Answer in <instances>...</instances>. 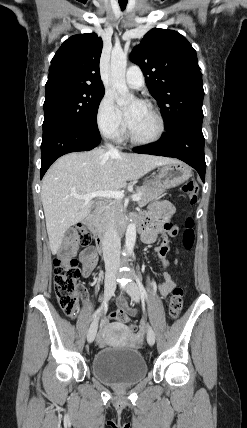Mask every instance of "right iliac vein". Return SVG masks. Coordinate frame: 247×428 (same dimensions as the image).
<instances>
[{"label":"right iliac vein","instance_id":"obj_1","mask_svg":"<svg viewBox=\"0 0 247 428\" xmlns=\"http://www.w3.org/2000/svg\"><path fill=\"white\" fill-rule=\"evenodd\" d=\"M115 287H116L115 274L113 272H110L106 275V278H105L104 302H106L111 297V295L115 290ZM97 327H98V318H96L92 322L88 330L87 341L89 343L93 342V340L95 339Z\"/></svg>","mask_w":247,"mask_h":428}]
</instances>
